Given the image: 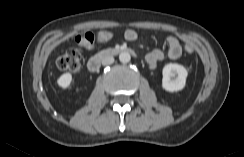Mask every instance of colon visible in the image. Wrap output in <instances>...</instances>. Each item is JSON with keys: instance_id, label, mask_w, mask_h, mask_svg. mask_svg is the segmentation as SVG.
Instances as JSON below:
<instances>
[{"instance_id": "obj_1", "label": "colon", "mask_w": 244, "mask_h": 157, "mask_svg": "<svg viewBox=\"0 0 244 157\" xmlns=\"http://www.w3.org/2000/svg\"><path fill=\"white\" fill-rule=\"evenodd\" d=\"M114 34L110 31H101L96 35L91 32H84L75 38L78 47L70 48L56 60V66L61 71L78 73L81 70L82 48L91 49L96 43H106L112 40ZM185 52L191 54L193 46L186 44Z\"/></svg>"}]
</instances>
